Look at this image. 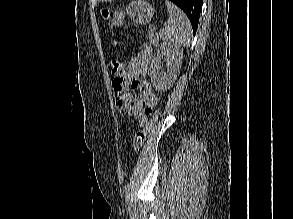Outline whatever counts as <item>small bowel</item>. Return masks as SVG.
<instances>
[{"mask_svg": "<svg viewBox=\"0 0 293 219\" xmlns=\"http://www.w3.org/2000/svg\"><path fill=\"white\" fill-rule=\"evenodd\" d=\"M150 56V48L144 47L142 53L133 58L122 72L120 89L115 88L112 82L117 106L121 114L137 120L141 128L149 123L151 116L149 110L153 109L158 101V96L149 83L141 79L148 72ZM131 89H138L141 98H134L130 93Z\"/></svg>", "mask_w": 293, "mask_h": 219, "instance_id": "small-bowel-1", "label": "small bowel"}]
</instances>
